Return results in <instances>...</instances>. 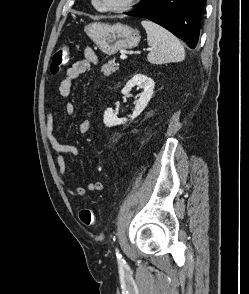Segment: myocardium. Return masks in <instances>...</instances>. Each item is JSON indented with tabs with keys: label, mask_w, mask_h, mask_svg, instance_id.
<instances>
[{
	"label": "myocardium",
	"mask_w": 249,
	"mask_h": 294,
	"mask_svg": "<svg viewBox=\"0 0 249 294\" xmlns=\"http://www.w3.org/2000/svg\"><path fill=\"white\" fill-rule=\"evenodd\" d=\"M95 6L102 12L109 13H123L133 8L139 0H126L123 4L117 7L103 6L99 3V0H92Z\"/></svg>",
	"instance_id": "myocardium-1"
}]
</instances>
